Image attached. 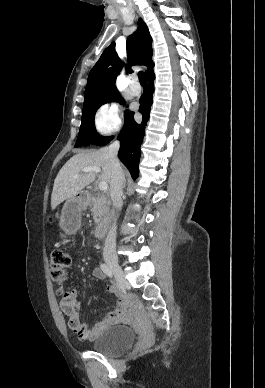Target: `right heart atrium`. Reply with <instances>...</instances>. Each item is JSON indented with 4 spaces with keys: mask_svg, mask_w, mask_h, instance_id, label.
<instances>
[{
    "mask_svg": "<svg viewBox=\"0 0 265 388\" xmlns=\"http://www.w3.org/2000/svg\"><path fill=\"white\" fill-rule=\"evenodd\" d=\"M119 107L116 104L103 106L97 115V124L103 132L109 130L110 125L117 120Z\"/></svg>",
    "mask_w": 265,
    "mask_h": 388,
    "instance_id": "right-heart-atrium-1",
    "label": "right heart atrium"
}]
</instances>
